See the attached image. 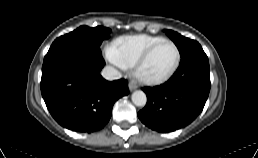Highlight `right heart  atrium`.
Wrapping results in <instances>:
<instances>
[{
  "instance_id": "obj_1",
  "label": "right heart atrium",
  "mask_w": 258,
  "mask_h": 158,
  "mask_svg": "<svg viewBox=\"0 0 258 158\" xmlns=\"http://www.w3.org/2000/svg\"><path fill=\"white\" fill-rule=\"evenodd\" d=\"M107 58L111 63H113L115 66L121 68V69H126L127 67L120 61L115 49L113 47H110L106 51Z\"/></svg>"
}]
</instances>
